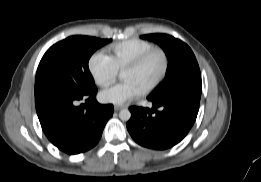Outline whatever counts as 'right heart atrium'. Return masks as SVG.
Here are the masks:
<instances>
[{
  "label": "right heart atrium",
  "instance_id": "right-heart-atrium-1",
  "mask_svg": "<svg viewBox=\"0 0 261 182\" xmlns=\"http://www.w3.org/2000/svg\"><path fill=\"white\" fill-rule=\"evenodd\" d=\"M88 70L94 82L100 87L112 84L117 76L118 70L111 59L102 51H97L88 60Z\"/></svg>",
  "mask_w": 261,
  "mask_h": 182
}]
</instances>
